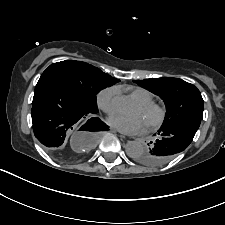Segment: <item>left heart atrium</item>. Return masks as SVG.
I'll use <instances>...</instances> for the list:
<instances>
[{
    "label": "left heart atrium",
    "mask_w": 225,
    "mask_h": 225,
    "mask_svg": "<svg viewBox=\"0 0 225 225\" xmlns=\"http://www.w3.org/2000/svg\"><path fill=\"white\" fill-rule=\"evenodd\" d=\"M108 121L112 127L127 134H139L147 128V121L141 115L126 117L117 114L110 117Z\"/></svg>",
    "instance_id": "left-heart-atrium-1"
}]
</instances>
